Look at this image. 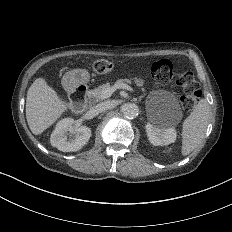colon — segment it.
Listing matches in <instances>:
<instances>
[{
  "label": "colon",
  "instance_id": "5ec220e1",
  "mask_svg": "<svg viewBox=\"0 0 232 232\" xmlns=\"http://www.w3.org/2000/svg\"><path fill=\"white\" fill-rule=\"evenodd\" d=\"M152 72L155 76V82H168L177 84V86H184L180 102H183L181 111H195L200 102L201 88L198 80L194 78L192 72L181 69L176 71L162 58H156L151 63ZM90 70L93 73H113L111 61H92Z\"/></svg>",
  "mask_w": 232,
  "mask_h": 232
}]
</instances>
